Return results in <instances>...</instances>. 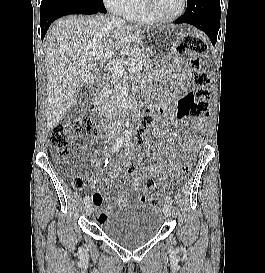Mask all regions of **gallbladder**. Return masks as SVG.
<instances>
[{"mask_svg":"<svg viewBox=\"0 0 265 273\" xmlns=\"http://www.w3.org/2000/svg\"><path fill=\"white\" fill-rule=\"evenodd\" d=\"M94 93V85H85L81 88V91L77 94L76 103L67 111L65 119L73 120L77 119L89 108L90 100Z\"/></svg>","mask_w":265,"mask_h":273,"instance_id":"bac80fb5","label":"gallbladder"}]
</instances>
